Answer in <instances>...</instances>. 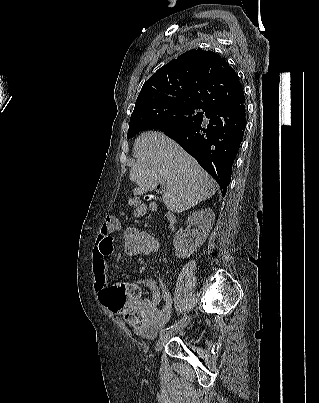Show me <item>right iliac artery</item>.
Wrapping results in <instances>:
<instances>
[{"mask_svg": "<svg viewBox=\"0 0 319 403\" xmlns=\"http://www.w3.org/2000/svg\"><path fill=\"white\" fill-rule=\"evenodd\" d=\"M184 318H182L180 321H178L174 326L168 327L166 329H163L160 331V335L168 333L170 331H172L175 327H177L179 325V323L183 322Z\"/></svg>", "mask_w": 319, "mask_h": 403, "instance_id": "obj_1", "label": "right iliac artery"}]
</instances>
